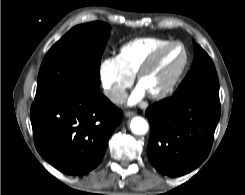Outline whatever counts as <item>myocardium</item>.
Returning <instances> with one entry per match:
<instances>
[{
  "label": "myocardium",
  "mask_w": 245,
  "mask_h": 195,
  "mask_svg": "<svg viewBox=\"0 0 245 195\" xmlns=\"http://www.w3.org/2000/svg\"><path fill=\"white\" fill-rule=\"evenodd\" d=\"M180 47L182 50V61L177 68V70L174 72V74L171 76V78L168 80V82L159 90L151 93H147L148 97L151 99H161L167 96L177 85L179 82L181 76L183 75L187 63H188V53L185 48V46L178 41H170L167 44L157 48L154 52H152L146 60L140 65L138 70L135 73V79L139 86L141 79L143 76L158 62L160 57L167 52L169 49L173 47Z\"/></svg>",
  "instance_id": "1"
}]
</instances>
